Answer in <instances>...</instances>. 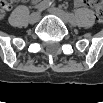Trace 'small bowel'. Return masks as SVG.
<instances>
[{
    "label": "small bowel",
    "mask_w": 103,
    "mask_h": 103,
    "mask_svg": "<svg viewBox=\"0 0 103 103\" xmlns=\"http://www.w3.org/2000/svg\"><path fill=\"white\" fill-rule=\"evenodd\" d=\"M11 6H12V3L8 6V8L6 9V11L10 10ZM84 6H86V2L85 1H83V0H77V1H75V7L81 8V7H84ZM5 12H3L2 14H4Z\"/></svg>",
    "instance_id": "obj_1"
}]
</instances>
